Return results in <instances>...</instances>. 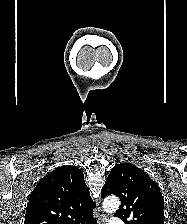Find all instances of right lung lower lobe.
Here are the masks:
<instances>
[{
  "label": "right lung lower lobe",
  "instance_id": "98d812e1",
  "mask_svg": "<svg viewBox=\"0 0 187 224\" xmlns=\"http://www.w3.org/2000/svg\"><path fill=\"white\" fill-rule=\"evenodd\" d=\"M90 224H97V221H94V222H92V223H90Z\"/></svg>",
  "mask_w": 187,
  "mask_h": 224
}]
</instances>
